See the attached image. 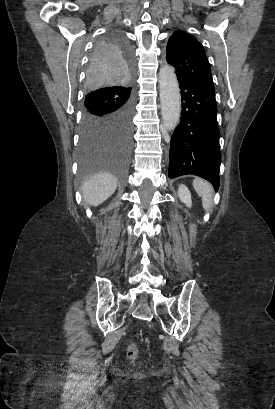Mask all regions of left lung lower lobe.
<instances>
[{
	"instance_id": "left-lung-lower-lobe-1",
	"label": "left lung lower lobe",
	"mask_w": 275,
	"mask_h": 409,
	"mask_svg": "<svg viewBox=\"0 0 275 409\" xmlns=\"http://www.w3.org/2000/svg\"><path fill=\"white\" fill-rule=\"evenodd\" d=\"M182 112L170 142L169 178L193 174L218 190L221 154L215 89L178 78Z\"/></svg>"
}]
</instances>
